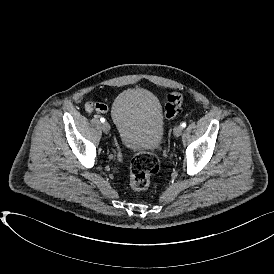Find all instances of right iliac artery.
I'll return each mask as SVG.
<instances>
[{
	"label": "right iliac artery",
	"instance_id": "82829eb1",
	"mask_svg": "<svg viewBox=\"0 0 274 274\" xmlns=\"http://www.w3.org/2000/svg\"><path fill=\"white\" fill-rule=\"evenodd\" d=\"M100 121H101V122H105V118L101 117V118H100Z\"/></svg>",
	"mask_w": 274,
	"mask_h": 274
}]
</instances>
